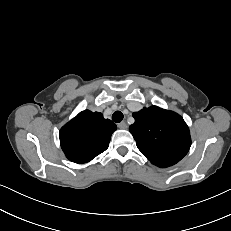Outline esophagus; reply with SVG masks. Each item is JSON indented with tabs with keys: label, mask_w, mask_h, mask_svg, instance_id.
<instances>
[{
	"label": "esophagus",
	"mask_w": 231,
	"mask_h": 231,
	"mask_svg": "<svg viewBox=\"0 0 231 231\" xmlns=\"http://www.w3.org/2000/svg\"><path fill=\"white\" fill-rule=\"evenodd\" d=\"M118 128H120V129H126L127 128V124H126V122H121V123H119L118 124Z\"/></svg>",
	"instance_id": "esophagus-1"
}]
</instances>
